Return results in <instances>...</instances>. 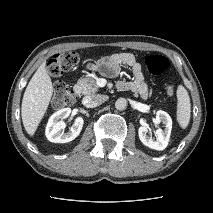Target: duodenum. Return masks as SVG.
Segmentation results:
<instances>
[{"label":"duodenum","instance_id":"1","mask_svg":"<svg viewBox=\"0 0 213 213\" xmlns=\"http://www.w3.org/2000/svg\"><path fill=\"white\" fill-rule=\"evenodd\" d=\"M74 92H75L76 96L80 95V89H79V88H76V89L74 90Z\"/></svg>","mask_w":213,"mask_h":213}]
</instances>
